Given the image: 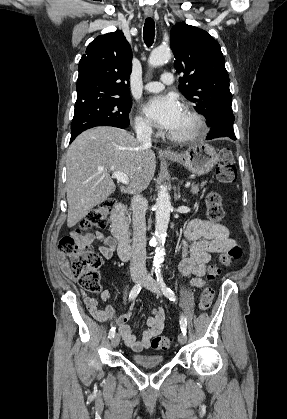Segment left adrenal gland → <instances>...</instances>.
<instances>
[{
	"mask_svg": "<svg viewBox=\"0 0 287 419\" xmlns=\"http://www.w3.org/2000/svg\"><path fill=\"white\" fill-rule=\"evenodd\" d=\"M181 198V195H180V188H178V194H175V200H178V199H180ZM183 201L185 202L186 200L185 199H183Z\"/></svg>",
	"mask_w": 287,
	"mask_h": 419,
	"instance_id": "1",
	"label": "left adrenal gland"
}]
</instances>
